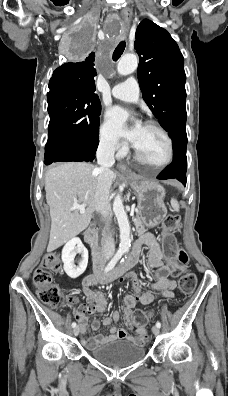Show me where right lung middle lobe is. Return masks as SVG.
I'll list each match as a JSON object with an SVG mask.
<instances>
[{
  "label": "right lung middle lobe",
  "instance_id": "right-lung-middle-lobe-1",
  "mask_svg": "<svg viewBox=\"0 0 228 396\" xmlns=\"http://www.w3.org/2000/svg\"><path fill=\"white\" fill-rule=\"evenodd\" d=\"M93 44L89 33L81 30L73 54L82 58L91 51ZM47 100L48 140H62L78 155L92 160L99 143L101 103L98 95L72 83L49 82Z\"/></svg>",
  "mask_w": 228,
  "mask_h": 396
}]
</instances>
